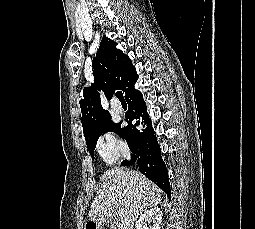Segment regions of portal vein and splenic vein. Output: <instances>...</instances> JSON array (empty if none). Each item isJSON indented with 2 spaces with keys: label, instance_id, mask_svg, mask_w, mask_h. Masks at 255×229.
Wrapping results in <instances>:
<instances>
[{
  "label": "portal vein and splenic vein",
  "instance_id": "1",
  "mask_svg": "<svg viewBox=\"0 0 255 229\" xmlns=\"http://www.w3.org/2000/svg\"><path fill=\"white\" fill-rule=\"evenodd\" d=\"M124 214L123 210H118V215L122 216Z\"/></svg>",
  "mask_w": 255,
  "mask_h": 229
}]
</instances>
